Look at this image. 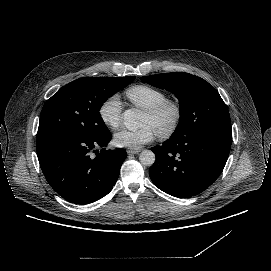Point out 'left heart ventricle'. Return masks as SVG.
<instances>
[{
  "instance_id": "b2bd125f",
  "label": "left heart ventricle",
  "mask_w": 271,
  "mask_h": 271,
  "mask_svg": "<svg viewBox=\"0 0 271 271\" xmlns=\"http://www.w3.org/2000/svg\"><path fill=\"white\" fill-rule=\"evenodd\" d=\"M170 119H171L170 112H166L165 114L158 118H152L146 113H144L141 125H148L156 132L160 127L166 126L169 123Z\"/></svg>"
}]
</instances>
